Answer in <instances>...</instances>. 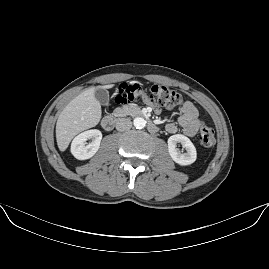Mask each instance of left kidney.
I'll return each instance as SVG.
<instances>
[{"label": "left kidney", "instance_id": "5707ae66", "mask_svg": "<svg viewBox=\"0 0 269 269\" xmlns=\"http://www.w3.org/2000/svg\"><path fill=\"white\" fill-rule=\"evenodd\" d=\"M177 143H181L186 149L185 153H181L177 149ZM168 152L171 158L180 165H190L197 158L196 148L190 139L182 134L172 135L168 139Z\"/></svg>", "mask_w": 269, "mask_h": 269}]
</instances>
